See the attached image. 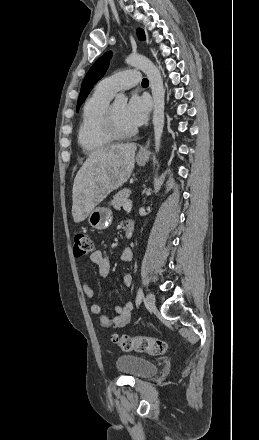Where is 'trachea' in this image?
I'll return each instance as SVG.
<instances>
[{
	"label": "trachea",
	"mask_w": 259,
	"mask_h": 440,
	"mask_svg": "<svg viewBox=\"0 0 259 440\" xmlns=\"http://www.w3.org/2000/svg\"><path fill=\"white\" fill-rule=\"evenodd\" d=\"M142 85H148V79L144 78V79L142 80Z\"/></svg>",
	"instance_id": "trachea-1"
}]
</instances>
